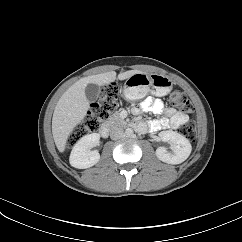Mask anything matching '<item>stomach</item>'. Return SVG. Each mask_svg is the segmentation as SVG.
<instances>
[{"mask_svg": "<svg viewBox=\"0 0 242 242\" xmlns=\"http://www.w3.org/2000/svg\"><path fill=\"white\" fill-rule=\"evenodd\" d=\"M172 88L173 82L166 75L139 72L127 78L124 85V96L128 100L142 99L148 93L165 96Z\"/></svg>", "mask_w": 242, "mask_h": 242, "instance_id": "1", "label": "stomach"}]
</instances>
